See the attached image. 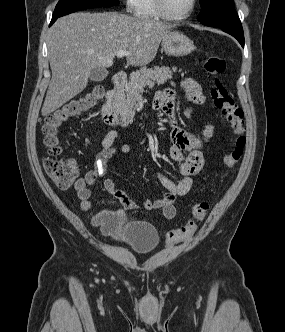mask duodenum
Masks as SVG:
<instances>
[{
	"instance_id": "duodenum-1",
	"label": "duodenum",
	"mask_w": 285,
	"mask_h": 332,
	"mask_svg": "<svg viewBox=\"0 0 285 332\" xmlns=\"http://www.w3.org/2000/svg\"><path fill=\"white\" fill-rule=\"evenodd\" d=\"M127 81V76L123 72H118L113 77L112 87L106 92L105 102L101 108V115L103 121L110 126H117L119 124V117L116 110V101L121 90L124 88Z\"/></svg>"
}]
</instances>
